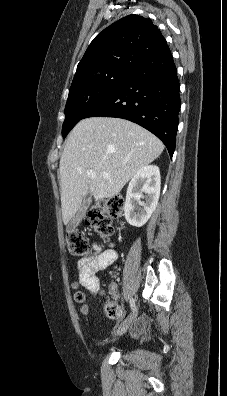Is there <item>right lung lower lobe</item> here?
Segmentation results:
<instances>
[{"instance_id":"98d812e1","label":"right lung lower lobe","mask_w":227,"mask_h":396,"mask_svg":"<svg viewBox=\"0 0 227 396\" xmlns=\"http://www.w3.org/2000/svg\"><path fill=\"white\" fill-rule=\"evenodd\" d=\"M179 87L177 69L167 45L139 63L85 118L102 116L132 121L156 135L172 157L181 106Z\"/></svg>"}]
</instances>
